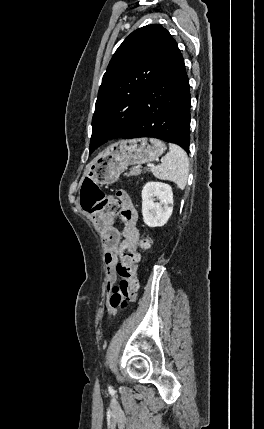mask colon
Returning <instances> with one entry per match:
<instances>
[{
	"mask_svg": "<svg viewBox=\"0 0 264 429\" xmlns=\"http://www.w3.org/2000/svg\"><path fill=\"white\" fill-rule=\"evenodd\" d=\"M81 205L90 214L104 213L117 216L120 212L118 202L107 196L100 187L92 181H85L81 187ZM141 249L150 247V240L143 238ZM140 259L138 252H124L116 265L118 282L110 287L108 306L111 310L124 309L129 302L136 298L138 291L137 266Z\"/></svg>",
	"mask_w": 264,
	"mask_h": 429,
	"instance_id": "obj_1",
	"label": "colon"
}]
</instances>
